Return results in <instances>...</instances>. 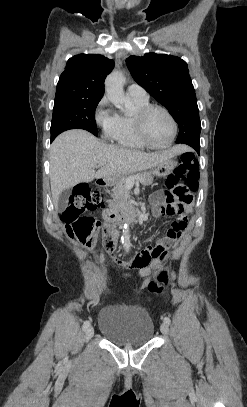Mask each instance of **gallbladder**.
<instances>
[{"instance_id":"1","label":"gallbladder","mask_w":247,"mask_h":407,"mask_svg":"<svg viewBox=\"0 0 247 407\" xmlns=\"http://www.w3.org/2000/svg\"><path fill=\"white\" fill-rule=\"evenodd\" d=\"M70 194H71L70 189H66L63 192H61L57 204V208L59 211H63L68 207V198Z\"/></svg>"}]
</instances>
